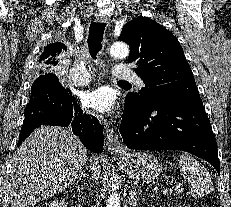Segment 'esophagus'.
I'll return each mask as SVG.
<instances>
[{
  "instance_id": "obj_1",
  "label": "esophagus",
  "mask_w": 231,
  "mask_h": 207,
  "mask_svg": "<svg viewBox=\"0 0 231 207\" xmlns=\"http://www.w3.org/2000/svg\"><path fill=\"white\" fill-rule=\"evenodd\" d=\"M98 22L109 23V17L104 15H99L96 17ZM106 145L111 153L120 154L124 153L126 148L122 144L117 132L114 128L107 126L106 127Z\"/></svg>"
}]
</instances>
